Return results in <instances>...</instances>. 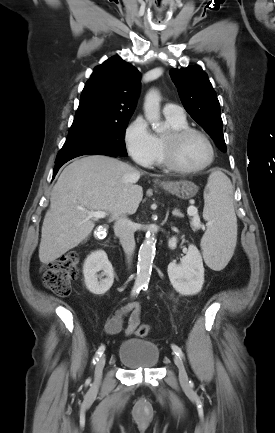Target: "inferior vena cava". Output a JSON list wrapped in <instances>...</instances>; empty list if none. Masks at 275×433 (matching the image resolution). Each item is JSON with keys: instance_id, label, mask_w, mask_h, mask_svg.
<instances>
[{"instance_id": "obj_1", "label": "inferior vena cava", "mask_w": 275, "mask_h": 433, "mask_svg": "<svg viewBox=\"0 0 275 433\" xmlns=\"http://www.w3.org/2000/svg\"><path fill=\"white\" fill-rule=\"evenodd\" d=\"M134 231V224L131 220L125 216L116 219L114 223V232L120 239V243L127 256L128 262H130L135 250Z\"/></svg>"}]
</instances>
